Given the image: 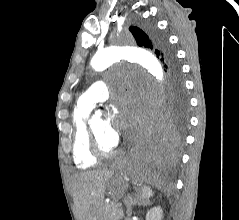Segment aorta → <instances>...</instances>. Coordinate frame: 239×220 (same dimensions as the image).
Instances as JSON below:
<instances>
[{
  "mask_svg": "<svg viewBox=\"0 0 239 220\" xmlns=\"http://www.w3.org/2000/svg\"><path fill=\"white\" fill-rule=\"evenodd\" d=\"M121 59L122 61H133L134 65H142L156 85L160 88L163 87L165 77L162 66L153 56V52L149 51V48H127L126 45H110L93 56L91 66L96 71H103ZM96 115L100 116L101 112L97 111Z\"/></svg>",
  "mask_w": 239,
  "mask_h": 220,
  "instance_id": "aorta-1",
  "label": "aorta"
}]
</instances>
